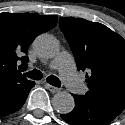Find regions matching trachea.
<instances>
[{"instance_id": "obj_1", "label": "trachea", "mask_w": 125, "mask_h": 125, "mask_svg": "<svg viewBox=\"0 0 125 125\" xmlns=\"http://www.w3.org/2000/svg\"><path fill=\"white\" fill-rule=\"evenodd\" d=\"M24 75L26 77L34 79V80L42 79V73L39 70H37V69H34V70H32L30 72H27V73H24ZM46 81L49 84H51V85H53L55 87H60L61 86L60 80L56 76H54V75L48 76Z\"/></svg>"}]
</instances>
